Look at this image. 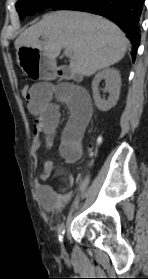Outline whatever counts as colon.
Here are the masks:
<instances>
[{
    "mask_svg": "<svg viewBox=\"0 0 148 279\" xmlns=\"http://www.w3.org/2000/svg\"><path fill=\"white\" fill-rule=\"evenodd\" d=\"M30 89L31 87L29 85H23L20 89L21 91V95L24 97V98H27L29 97L30 95Z\"/></svg>",
    "mask_w": 148,
    "mask_h": 279,
    "instance_id": "colon-1",
    "label": "colon"
}]
</instances>
